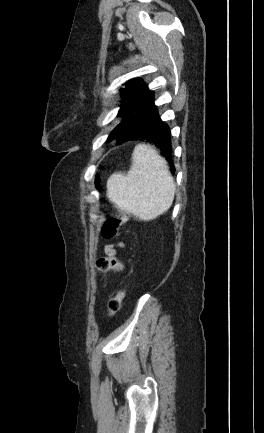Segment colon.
Masks as SVG:
<instances>
[{
	"mask_svg": "<svg viewBox=\"0 0 264 433\" xmlns=\"http://www.w3.org/2000/svg\"><path fill=\"white\" fill-rule=\"evenodd\" d=\"M128 218V214L123 212H119L116 215L107 217L101 226L102 236L107 239L118 237L120 235L121 227L127 222ZM95 267L99 272H120L123 270L121 261L114 255L98 258L96 260ZM125 293V288H121L117 294L109 300L107 311L110 317L114 316L120 310Z\"/></svg>",
	"mask_w": 264,
	"mask_h": 433,
	"instance_id": "obj_1",
	"label": "colon"
}]
</instances>
